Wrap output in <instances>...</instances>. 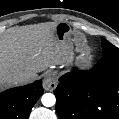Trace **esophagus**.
I'll return each instance as SVG.
<instances>
[{
  "label": "esophagus",
  "mask_w": 119,
  "mask_h": 119,
  "mask_svg": "<svg viewBox=\"0 0 119 119\" xmlns=\"http://www.w3.org/2000/svg\"><path fill=\"white\" fill-rule=\"evenodd\" d=\"M43 87L47 91H53L57 87V80L54 74L49 73L45 76Z\"/></svg>",
  "instance_id": "obj_1"
}]
</instances>
